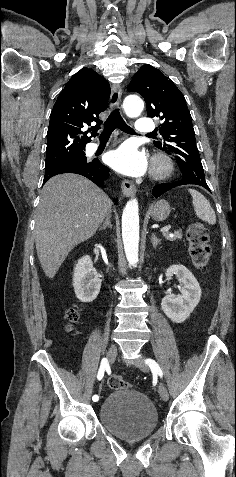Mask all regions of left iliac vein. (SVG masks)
<instances>
[{"label":"left iliac vein","instance_id":"1","mask_svg":"<svg viewBox=\"0 0 236 477\" xmlns=\"http://www.w3.org/2000/svg\"><path fill=\"white\" fill-rule=\"evenodd\" d=\"M136 365L143 372H148L149 371V367L144 362H142L140 360L136 361ZM159 394H160V397L162 398L163 401L168 400L169 395H168L166 387L163 384H160V386H159Z\"/></svg>","mask_w":236,"mask_h":477}]
</instances>
